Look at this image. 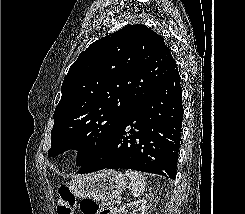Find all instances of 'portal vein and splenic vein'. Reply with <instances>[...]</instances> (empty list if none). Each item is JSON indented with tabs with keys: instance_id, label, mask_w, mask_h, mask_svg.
Instances as JSON below:
<instances>
[{
	"instance_id": "1",
	"label": "portal vein and splenic vein",
	"mask_w": 245,
	"mask_h": 214,
	"mask_svg": "<svg viewBox=\"0 0 245 214\" xmlns=\"http://www.w3.org/2000/svg\"><path fill=\"white\" fill-rule=\"evenodd\" d=\"M116 203H117L118 205H120V204H121V199H120V198L117 199Z\"/></svg>"
}]
</instances>
